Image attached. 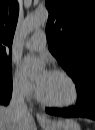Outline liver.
Wrapping results in <instances>:
<instances>
[{"label": "liver", "mask_w": 95, "mask_h": 130, "mask_svg": "<svg viewBox=\"0 0 95 130\" xmlns=\"http://www.w3.org/2000/svg\"><path fill=\"white\" fill-rule=\"evenodd\" d=\"M0 130H36V124L29 112L17 117L9 106H1Z\"/></svg>", "instance_id": "1"}]
</instances>
